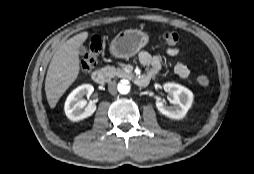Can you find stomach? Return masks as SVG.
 I'll return each instance as SVG.
<instances>
[{
	"label": "stomach",
	"instance_id": "0dacf381",
	"mask_svg": "<svg viewBox=\"0 0 254 174\" xmlns=\"http://www.w3.org/2000/svg\"><path fill=\"white\" fill-rule=\"evenodd\" d=\"M149 41V35L138 29H128L117 34L110 45V53L117 58H129Z\"/></svg>",
	"mask_w": 254,
	"mask_h": 174
}]
</instances>
